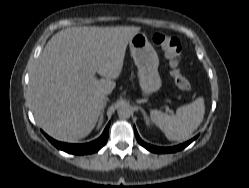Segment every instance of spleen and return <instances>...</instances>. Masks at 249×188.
<instances>
[{
	"label": "spleen",
	"instance_id": "spleen-1",
	"mask_svg": "<svg viewBox=\"0 0 249 188\" xmlns=\"http://www.w3.org/2000/svg\"><path fill=\"white\" fill-rule=\"evenodd\" d=\"M204 113V99L200 97L190 104L179 107L175 115L151 110L150 117L169 140L182 141L188 139L199 127Z\"/></svg>",
	"mask_w": 249,
	"mask_h": 188
}]
</instances>
